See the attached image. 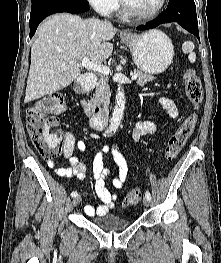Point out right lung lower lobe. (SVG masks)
<instances>
[{"mask_svg": "<svg viewBox=\"0 0 221 263\" xmlns=\"http://www.w3.org/2000/svg\"><path fill=\"white\" fill-rule=\"evenodd\" d=\"M89 10L87 0H52L31 8L30 38L35 34L39 23L47 16L59 13H82Z\"/></svg>", "mask_w": 221, "mask_h": 263, "instance_id": "98d812e1", "label": "right lung lower lobe"}]
</instances>
